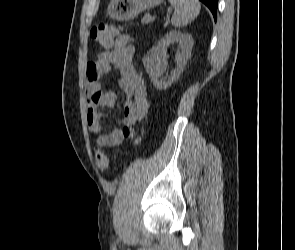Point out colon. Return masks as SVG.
<instances>
[{
  "label": "colon",
  "instance_id": "colon-1",
  "mask_svg": "<svg viewBox=\"0 0 295 250\" xmlns=\"http://www.w3.org/2000/svg\"><path fill=\"white\" fill-rule=\"evenodd\" d=\"M120 27L115 24L99 23L94 25L90 30L91 37L100 45L109 47L113 44L114 38L119 33ZM138 137L135 141H138ZM96 160L101 169L108 166V157L100 147H96Z\"/></svg>",
  "mask_w": 295,
  "mask_h": 250
}]
</instances>
